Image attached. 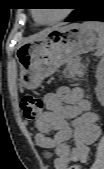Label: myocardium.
Masks as SVG:
<instances>
[{
    "mask_svg": "<svg viewBox=\"0 0 104 169\" xmlns=\"http://www.w3.org/2000/svg\"><path fill=\"white\" fill-rule=\"evenodd\" d=\"M67 14H68V11L67 10H63L55 19L47 21V22L40 21L36 17V13H33V17H34L35 21H37L40 24H54V23H57V22L63 20L67 16Z\"/></svg>",
    "mask_w": 104,
    "mask_h": 169,
    "instance_id": "myocardium-1",
    "label": "myocardium"
}]
</instances>
